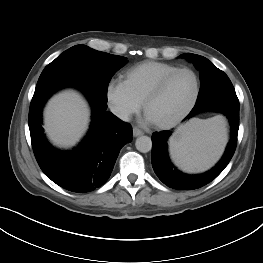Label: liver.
Returning a JSON list of instances; mask_svg holds the SVG:
<instances>
[{"label": "liver", "mask_w": 263, "mask_h": 263, "mask_svg": "<svg viewBox=\"0 0 263 263\" xmlns=\"http://www.w3.org/2000/svg\"><path fill=\"white\" fill-rule=\"evenodd\" d=\"M90 110L77 92L67 90L54 96L44 111L45 131L57 146L71 147L88 128Z\"/></svg>", "instance_id": "1"}]
</instances>
